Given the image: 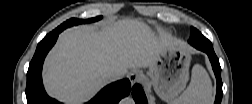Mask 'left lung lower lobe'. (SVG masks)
I'll return each instance as SVG.
<instances>
[{"label":"left lung lower lobe","instance_id":"left-lung-lower-lobe-1","mask_svg":"<svg viewBox=\"0 0 252 104\" xmlns=\"http://www.w3.org/2000/svg\"><path fill=\"white\" fill-rule=\"evenodd\" d=\"M189 43L193 47L205 52L208 55L217 80V94L214 104H220L222 100V80H221V67L219 59L217 58L214 50H204V43L208 44L210 43V41L199 32L196 34L195 38L189 39ZM132 96L136 104H147L145 93L140 84H135L133 86Z\"/></svg>","mask_w":252,"mask_h":104}]
</instances>
